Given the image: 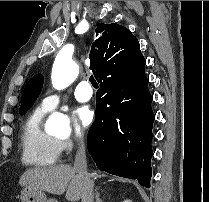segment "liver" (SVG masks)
<instances>
[{
    "mask_svg": "<svg viewBox=\"0 0 209 202\" xmlns=\"http://www.w3.org/2000/svg\"><path fill=\"white\" fill-rule=\"evenodd\" d=\"M83 182L75 169L67 164L28 169L19 179V185L23 187L40 189L54 195L66 192L68 201L81 199Z\"/></svg>",
    "mask_w": 209,
    "mask_h": 202,
    "instance_id": "1",
    "label": "liver"
}]
</instances>
